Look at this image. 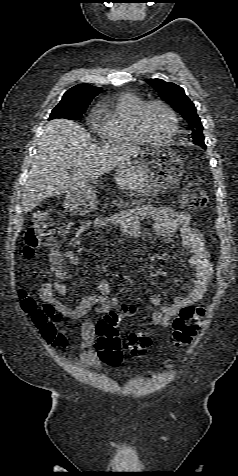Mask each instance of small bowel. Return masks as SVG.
<instances>
[{
    "instance_id": "obj_1",
    "label": "small bowel",
    "mask_w": 238,
    "mask_h": 476,
    "mask_svg": "<svg viewBox=\"0 0 238 476\" xmlns=\"http://www.w3.org/2000/svg\"><path fill=\"white\" fill-rule=\"evenodd\" d=\"M144 221L152 222L148 229L144 227ZM109 227H119L131 240H139L151 234L170 238L178 232L183 247L189 252L188 264L193 271V281L189 292L186 296L178 297L172 303L164 305H161L160 297H153L152 303L159 306V309L150 317L152 325L168 327L181 309L203 298L208 290L213 269L204 237L194 227L189 213L145 205L84 221L70 239L71 248L65 252V257L70 264L77 268H84L86 262L81 256L83 238L96 230ZM53 273V280L41 285L40 298L44 304L49 305L60 315L72 320H82L79 348L83 351L79 361L85 367L98 368L102 361L98 351L91 349L98 336V323L105 314L111 310L121 309L122 305L116 297L111 296L110 283L102 280L98 284L97 292L86 295L77 306L70 307L60 299V296L66 295L68 290L63 281L65 271L61 261L56 257L53 261ZM93 316H101V319L95 322Z\"/></svg>"
}]
</instances>
